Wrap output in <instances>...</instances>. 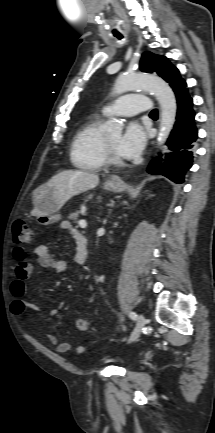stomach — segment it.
<instances>
[{
    "instance_id": "stomach-1",
    "label": "stomach",
    "mask_w": 215,
    "mask_h": 433,
    "mask_svg": "<svg viewBox=\"0 0 215 433\" xmlns=\"http://www.w3.org/2000/svg\"><path fill=\"white\" fill-rule=\"evenodd\" d=\"M107 191H116L117 185H104ZM34 207L38 211L37 221L41 225H50L60 220L58 213L61 208L57 202L55 191L45 185L38 187L33 192Z\"/></svg>"
}]
</instances>
